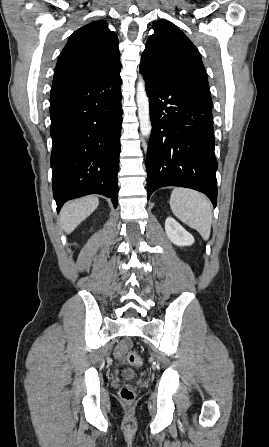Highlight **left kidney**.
I'll list each match as a JSON object with an SVG mask.
<instances>
[{
    "mask_svg": "<svg viewBox=\"0 0 269 447\" xmlns=\"http://www.w3.org/2000/svg\"><path fill=\"white\" fill-rule=\"evenodd\" d=\"M165 231L172 243L175 245H192L194 237L186 231L182 225L178 224L174 218H167L165 222Z\"/></svg>",
    "mask_w": 269,
    "mask_h": 447,
    "instance_id": "obj_1",
    "label": "left kidney"
}]
</instances>
